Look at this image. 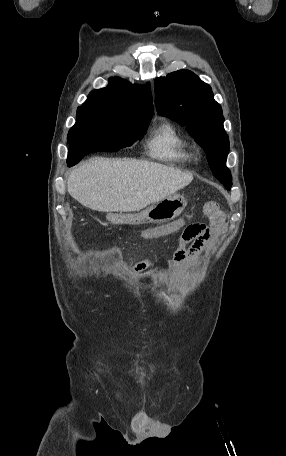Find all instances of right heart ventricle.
<instances>
[{"instance_id": "1", "label": "right heart ventricle", "mask_w": 286, "mask_h": 456, "mask_svg": "<svg viewBox=\"0 0 286 456\" xmlns=\"http://www.w3.org/2000/svg\"><path fill=\"white\" fill-rule=\"evenodd\" d=\"M147 146L152 157L163 161L182 163L191 158L188 139L172 123L159 126Z\"/></svg>"}]
</instances>
